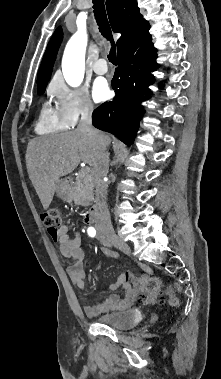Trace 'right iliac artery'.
Listing matches in <instances>:
<instances>
[{
    "mask_svg": "<svg viewBox=\"0 0 221 379\" xmlns=\"http://www.w3.org/2000/svg\"><path fill=\"white\" fill-rule=\"evenodd\" d=\"M87 232H88V235L90 237H95V235H96V230H95L94 227H89L88 230H87Z\"/></svg>",
    "mask_w": 221,
    "mask_h": 379,
    "instance_id": "1",
    "label": "right iliac artery"
}]
</instances>
